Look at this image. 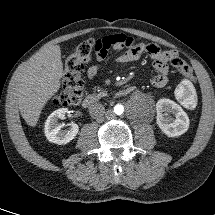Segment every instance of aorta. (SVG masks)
Instances as JSON below:
<instances>
[{
  "instance_id": "aorta-1",
  "label": "aorta",
  "mask_w": 215,
  "mask_h": 215,
  "mask_svg": "<svg viewBox=\"0 0 215 215\" xmlns=\"http://www.w3.org/2000/svg\"><path fill=\"white\" fill-rule=\"evenodd\" d=\"M124 112V107L122 105H116L114 108V113L116 115H122Z\"/></svg>"
}]
</instances>
